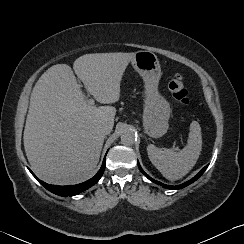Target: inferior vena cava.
I'll return each instance as SVG.
<instances>
[{
    "mask_svg": "<svg viewBox=\"0 0 244 244\" xmlns=\"http://www.w3.org/2000/svg\"><path fill=\"white\" fill-rule=\"evenodd\" d=\"M98 129L105 136L111 132L112 127L108 123L103 122L98 126Z\"/></svg>",
    "mask_w": 244,
    "mask_h": 244,
    "instance_id": "obj_1",
    "label": "inferior vena cava"
}]
</instances>
